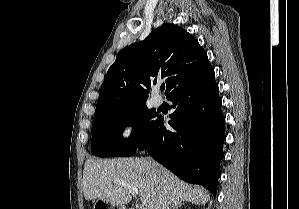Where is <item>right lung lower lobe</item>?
Returning <instances> with one entry per match:
<instances>
[{
    "label": "right lung lower lobe",
    "instance_id": "98d812e1",
    "mask_svg": "<svg viewBox=\"0 0 299 209\" xmlns=\"http://www.w3.org/2000/svg\"><path fill=\"white\" fill-rule=\"evenodd\" d=\"M167 99L174 104L169 116L173 129H166L158 116L137 148H145L182 180L201 184L216 195L226 136L214 72L185 79Z\"/></svg>",
    "mask_w": 299,
    "mask_h": 209
}]
</instances>
